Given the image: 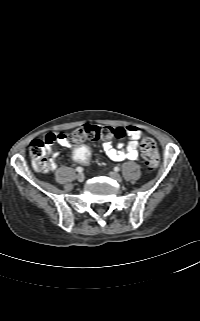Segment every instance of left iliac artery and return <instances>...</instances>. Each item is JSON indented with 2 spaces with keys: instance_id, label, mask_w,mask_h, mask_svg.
I'll return each instance as SVG.
<instances>
[{
  "instance_id": "1",
  "label": "left iliac artery",
  "mask_w": 200,
  "mask_h": 321,
  "mask_svg": "<svg viewBox=\"0 0 200 321\" xmlns=\"http://www.w3.org/2000/svg\"><path fill=\"white\" fill-rule=\"evenodd\" d=\"M114 170H115V171H119L120 168H119L118 166H116V167L114 168Z\"/></svg>"
}]
</instances>
